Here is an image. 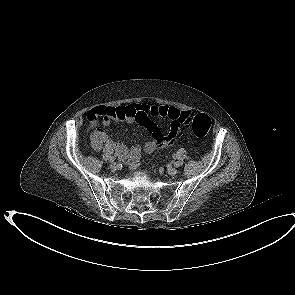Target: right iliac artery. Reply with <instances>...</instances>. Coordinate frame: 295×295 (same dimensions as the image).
Wrapping results in <instances>:
<instances>
[{
	"label": "right iliac artery",
	"mask_w": 295,
	"mask_h": 295,
	"mask_svg": "<svg viewBox=\"0 0 295 295\" xmlns=\"http://www.w3.org/2000/svg\"><path fill=\"white\" fill-rule=\"evenodd\" d=\"M114 160H115V157H111V158H110V161L113 162Z\"/></svg>",
	"instance_id": "obj_1"
}]
</instances>
